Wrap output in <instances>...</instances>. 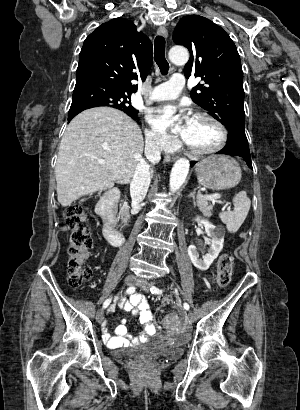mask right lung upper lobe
I'll return each instance as SVG.
<instances>
[{
    "label": "right lung upper lobe",
    "instance_id": "1",
    "mask_svg": "<svg viewBox=\"0 0 300 410\" xmlns=\"http://www.w3.org/2000/svg\"><path fill=\"white\" fill-rule=\"evenodd\" d=\"M153 64L152 43L133 22L115 18L84 41L76 71L77 83H95L131 95L138 76L145 79Z\"/></svg>",
    "mask_w": 300,
    "mask_h": 410
}]
</instances>
